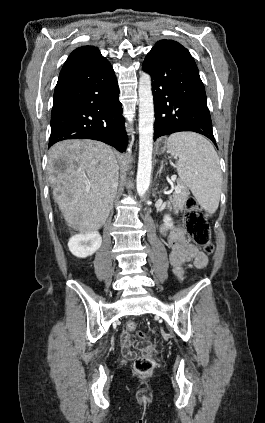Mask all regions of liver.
Wrapping results in <instances>:
<instances>
[{
  "label": "liver",
  "mask_w": 265,
  "mask_h": 423,
  "mask_svg": "<svg viewBox=\"0 0 265 423\" xmlns=\"http://www.w3.org/2000/svg\"><path fill=\"white\" fill-rule=\"evenodd\" d=\"M118 170L115 152L99 141L72 139L50 148L53 198L69 227L85 234L104 225L116 196Z\"/></svg>",
  "instance_id": "1"
}]
</instances>
